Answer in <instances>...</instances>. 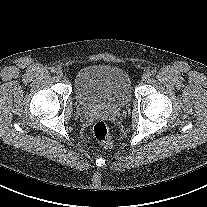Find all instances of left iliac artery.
<instances>
[{
	"mask_svg": "<svg viewBox=\"0 0 207 207\" xmlns=\"http://www.w3.org/2000/svg\"><path fill=\"white\" fill-rule=\"evenodd\" d=\"M157 73V71L155 69L150 71V75L154 76Z\"/></svg>",
	"mask_w": 207,
	"mask_h": 207,
	"instance_id": "44dca946",
	"label": "left iliac artery"
}]
</instances>
